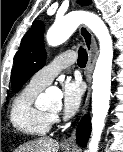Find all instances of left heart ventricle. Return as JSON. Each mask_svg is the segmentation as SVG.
Wrapping results in <instances>:
<instances>
[{"label": "left heart ventricle", "instance_id": "obj_1", "mask_svg": "<svg viewBox=\"0 0 123 152\" xmlns=\"http://www.w3.org/2000/svg\"><path fill=\"white\" fill-rule=\"evenodd\" d=\"M59 108H60V105L57 104L51 111H52L53 113H55V112H57V111L59 110Z\"/></svg>", "mask_w": 123, "mask_h": 152}]
</instances>
